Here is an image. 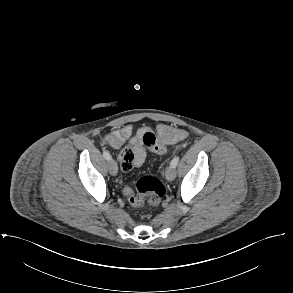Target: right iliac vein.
I'll list each match as a JSON object with an SVG mask.
<instances>
[{"label": "right iliac vein", "instance_id": "1", "mask_svg": "<svg viewBox=\"0 0 293 293\" xmlns=\"http://www.w3.org/2000/svg\"><path fill=\"white\" fill-rule=\"evenodd\" d=\"M108 169L112 176H116L118 173V166L114 159H110L108 162Z\"/></svg>", "mask_w": 293, "mask_h": 293}]
</instances>
